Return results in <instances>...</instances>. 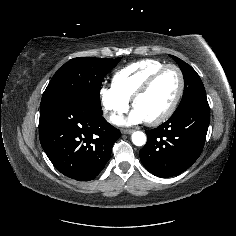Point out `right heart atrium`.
I'll return each mask as SVG.
<instances>
[{
	"label": "right heart atrium",
	"mask_w": 236,
	"mask_h": 236,
	"mask_svg": "<svg viewBox=\"0 0 236 236\" xmlns=\"http://www.w3.org/2000/svg\"><path fill=\"white\" fill-rule=\"evenodd\" d=\"M99 99L105 116L111 122L125 113L130 105V100L120 94L113 85L103 86L99 91Z\"/></svg>",
	"instance_id": "1"
}]
</instances>
